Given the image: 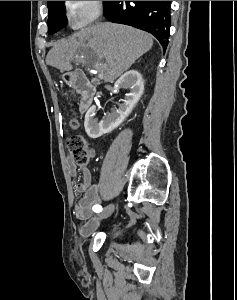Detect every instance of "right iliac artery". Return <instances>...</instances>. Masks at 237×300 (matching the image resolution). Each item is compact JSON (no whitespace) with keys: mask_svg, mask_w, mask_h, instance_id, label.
I'll return each instance as SVG.
<instances>
[{"mask_svg":"<svg viewBox=\"0 0 237 300\" xmlns=\"http://www.w3.org/2000/svg\"><path fill=\"white\" fill-rule=\"evenodd\" d=\"M93 211L96 213H99L102 211V207L100 205H94L93 206Z\"/></svg>","mask_w":237,"mask_h":300,"instance_id":"right-iliac-artery-1","label":"right iliac artery"}]
</instances>
